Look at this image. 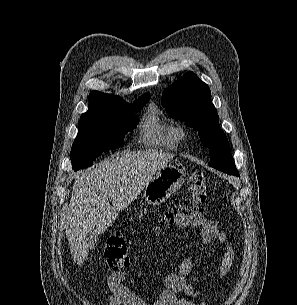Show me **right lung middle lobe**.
Masks as SVG:
<instances>
[{
    "mask_svg": "<svg viewBox=\"0 0 297 305\" xmlns=\"http://www.w3.org/2000/svg\"><path fill=\"white\" fill-rule=\"evenodd\" d=\"M149 99L134 105L121 103L102 110H88L81 115L79 132L71 149L73 169L86 168L93 160L113 148L124 145V133L132 131L139 118L134 111L140 110Z\"/></svg>",
    "mask_w": 297,
    "mask_h": 305,
    "instance_id": "dd1d6c3e",
    "label": "right lung middle lobe"
}]
</instances>
